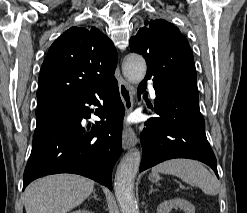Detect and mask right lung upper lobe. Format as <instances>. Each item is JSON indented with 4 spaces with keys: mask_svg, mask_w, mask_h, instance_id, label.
<instances>
[{
    "mask_svg": "<svg viewBox=\"0 0 247 213\" xmlns=\"http://www.w3.org/2000/svg\"><path fill=\"white\" fill-rule=\"evenodd\" d=\"M117 51L97 28L72 27L49 48L39 75L37 105L62 94H87L115 80Z\"/></svg>",
    "mask_w": 247,
    "mask_h": 213,
    "instance_id": "right-lung-upper-lobe-1",
    "label": "right lung upper lobe"
}]
</instances>
